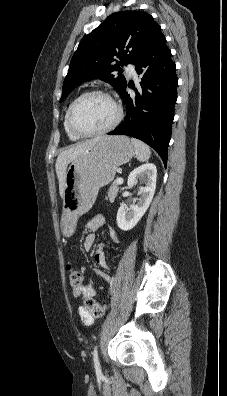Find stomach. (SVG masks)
I'll return each mask as SVG.
<instances>
[{
  "label": "stomach",
  "mask_w": 227,
  "mask_h": 396,
  "mask_svg": "<svg viewBox=\"0 0 227 396\" xmlns=\"http://www.w3.org/2000/svg\"><path fill=\"white\" fill-rule=\"evenodd\" d=\"M135 149L125 136H103L66 171L60 229L66 238L75 231L79 216L93 206L101 187L113 181L119 166L129 162Z\"/></svg>",
  "instance_id": "1"
}]
</instances>
